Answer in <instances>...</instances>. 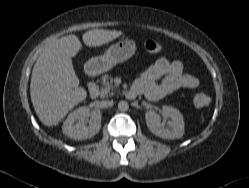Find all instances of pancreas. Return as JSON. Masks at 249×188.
I'll return each instance as SVG.
<instances>
[{
  "label": "pancreas",
  "instance_id": "pancreas-1",
  "mask_svg": "<svg viewBox=\"0 0 249 188\" xmlns=\"http://www.w3.org/2000/svg\"><path fill=\"white\" fill-rule=\"evenodd\" d=\"M101 80V97H107L108 95L112 96L113 93H110V91L114 89L113 78L109 77L108 75H104L102 76Z\"/></svg>",
  "mask_w": 249,
  "mask_h": 188
}]
</instances>
